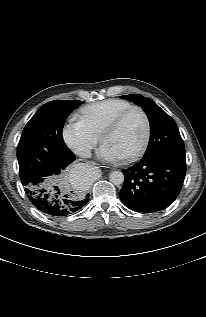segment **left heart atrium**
<instances>
[{
  "instance_id": "left-heart-atrium-1",
  "label": "left heart atrium",
  "mask_w": 206,
  "mask_h": 317,
  "mask_svg": "<svg viewBox=\"0 0 206 317\" xmlns=\"http://www.w3.org/2000/svg\"><path fill=\"white\" fill-rule=\"evenodd\" d=\"M98 156L105 161H117L121 159L120 155L107 144H103L99 148Z\"/></svg>"
}]
</instances>
